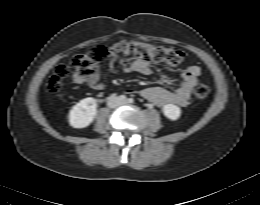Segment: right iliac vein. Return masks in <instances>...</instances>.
<instances>
[{
    "label": "right iliac vein",
    "mask_w": 260,
    "mask_h": 205,
    "mask_svg": "<svg viewBox=\"0 0 260 205\" xmlns=\"http://www.w3.org/2000/svg\"><path fill=\"white\" fill-rule=\"evenodd\" d=\"M119 99H117V98H112L111 99V103L113 104V105H117V104H119Z\"/></svg>",
    "instance_id": "obj_1"
}]
</instances>
